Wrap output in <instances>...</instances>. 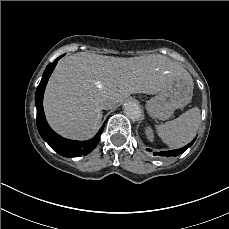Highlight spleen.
I'll use <instances>...</instances> for the list:
<instances>
[{"label":"spleen","mask_w":229,"mask_h":229,"mask_svg":"<svg viewBox=\"0 0 229 229\" xmlns=\"http://www.w3.org/2000/svg\"><path fill=\"white\" fill-rule=\"evenodd\" d=\"M200 124V110L195 107L165 124H155L159 138L168 147L179 148L188 144L196 135Z\"/></svg>","instance_id":"1"}]
</instances>
